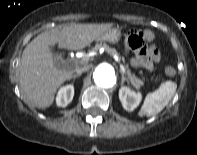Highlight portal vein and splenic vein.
<instances>
[{"label": "portal vein and splenic vein", "mask_w": 197, "mask_h": 155, "mask_svg": "<svg viewBox=\"0 0 197 155\" xmlns=\"http://www.w3.org/2000/svg\"><path fill=\"white\" fill-rule=\"evenodd\" d=\"M120 68H121V71H122L123 73H125V68H124L123 64H120Z\"/></svg>", "instance_id": "obj_1"}]
</instances>
